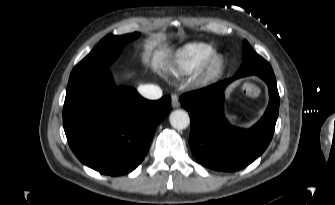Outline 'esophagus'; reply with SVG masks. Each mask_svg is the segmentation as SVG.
<instances>
[{"instance_id":"34e87169","label":"esophagus","mask_w":335,"mask_h":205,"mask_svg":"<svg viewBox=\"0 0 335 205\" xmlns=\"http://www.w3.org/2000/svg\"><path fill=\"white\" fill-rule=\"evenodd\" d=\"M172 106L173 108H178L180 106V101L177 95H172Z\"/></svg>"}]
</instances>
